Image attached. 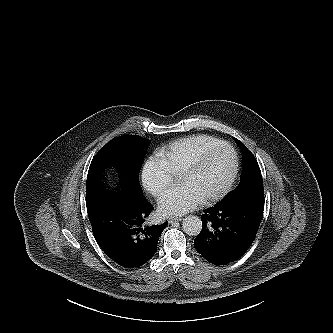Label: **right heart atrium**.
Segmentation results:
<instances>
[{
    "label": "right heart atrium",
    "instance_id": "right-heart-atrium-1",
    "mask_svg": "<svg viewBox=\"0 0 333 333\" xmlns=\"http://www.w3.org/2000/svg\"><path fill=\"white\" fill-rule=\"evenodd\" d=\"M174 175L159 154L150 155L141 169V183L151 195L160 196L173 182Z\"/></svg>",
    "mask_w": 333,
    "mask_h": 333
}]
</instances>
